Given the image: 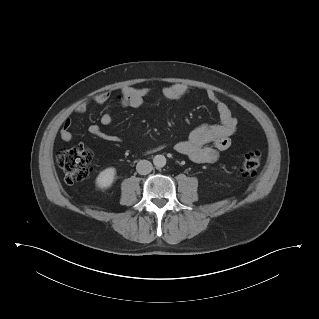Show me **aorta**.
<instances>
[{
    "label": "aorta",
    "mask_w": 319,
    "mask_h": 319,
    "mask_svg": "<svg viewBox=\"0 0 319 319\" xmlns=\"http://www.w3.org/2000/svg\"><path fill=\"white\" fill-rule=\"evenodd\" d=\"M153 163L157 168H162L166 165V158L164 155H156L153 159Z\"/></svg>",
    "instance_id": "aorta-1"
}]
</instances>
